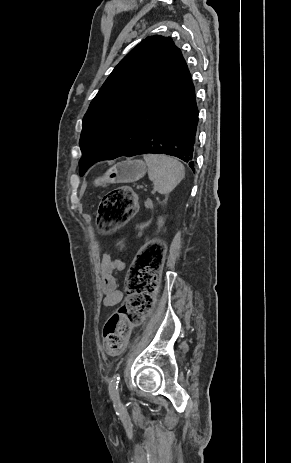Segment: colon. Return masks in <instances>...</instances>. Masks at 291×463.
I'll return each instance as SVG.
<instances>
[{"label":"colon","instance_id":"obj_1","mask_svg":"<svg viewBox=\"0 0 291 463\" xmlns=\"http://www.w3.org/2000/svg\"><path fill=\"white\" fill-rule=\"evenodd\" d=\"M137 202V195L129 187L109 191L99 204L97 227L101 231H111L124 225L136 211ZM164 253V244L154 240L145 244L136 255L125 279L126 298L104 325L103 344L107 353L122 352L131 327L150 315Z\"/></svg>","mask_w":291,"mask_h":463}]
</instances>
